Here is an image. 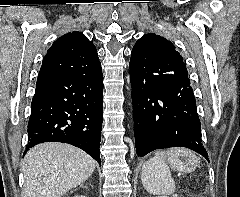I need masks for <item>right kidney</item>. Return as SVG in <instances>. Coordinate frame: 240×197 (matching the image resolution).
Segmentation results:
<instances>
[{
    "label": "right kidney",
    "instance_id": "right-kidney-1",
    "mask_svg": "<svg viewBox=\"0 0 240 197\" xmlns=\"http://www.w3.org/2000/svg\"><path fill=\"white\" fill-rule=\"evenodd\" d=\"M74 197H85V196H83V195H76V196H74Z\"/></svg>",
    "mask_w": 240,
    "mask_h": 197
}]
</instances>
